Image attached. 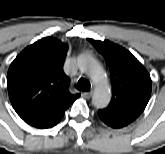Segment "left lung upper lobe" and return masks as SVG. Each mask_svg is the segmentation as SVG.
Instances as JSON below:
<instances>
[{"mask_svg": "<svg viewBox=\"0 0 165 154\" xmlns=\"http://www.w3.org/2000/svg\"><path fill=\"white\" fill-rule=\"evenodd\" d=\"M88 41L106 57L111 74L112 100L102 115L133 122L145 109L152 90L145 67L125 48L108 40Z\"/></svg>", "mask_w": 165, "mask_h": 154, "instance_id": "left-lung-upper-lobe-1", "label": "left lung upper lobe"}]
</instances>
